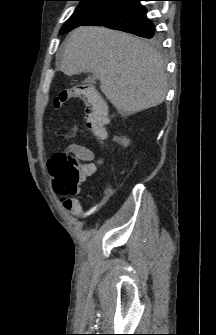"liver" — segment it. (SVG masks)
Here are the masks:
<instances>
[{"label":"liver","instance_id":"liver-1","mask_svg":"<svg viewBox=\"0 0 216 335\" xmlns=\"http://www.w3.org/2000/svg\"><path fill=\"white\" fill-rule=\"evenodd\" d=\"M60 70L93 72L100 89L121 113L161 104L167 93L165 65L144 40L105 27H78L66 41Z\"/></svg>","mask_w":216,"mask_h":335}]
</instances>
